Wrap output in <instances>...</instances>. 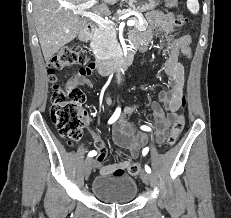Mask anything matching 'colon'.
<instances>
[{"mask_svg":"<svg viewBox=\"0 0 231 218\" xmlns=\"http://www.w3.org/2000/svg\"><path fill=\"white\" fill-rule=\"evenodd\" d=\"M178 0H165L168 7L177 6ZM186 19L182 15H178L176 25L182 27ZM90 62L89 55L76 47L64 46L48 62V71L52 87V108L51 119L57 127L62 138L69 142H76L82 136L83 125L86 120V112L83 109L85 95L81 89L68 81L65 84L57 83L56 71L71 68L76 65H86ZM186 104L185 97L182 98L181 106ZM185 126V118L180 114L175 119L170 134L167 138L169 146L174 145ZM142 171V166L138 162H132L128 166V172L131 175H138Z\"/></svg>","mask_w":231,"mask_h":218,"instance_id":"obj_1","label":"colon"}]
</instances>
